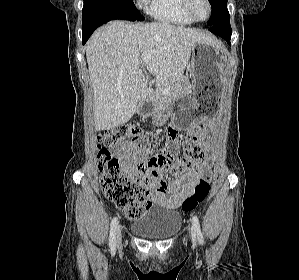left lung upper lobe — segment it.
I'll return each mask as SVG.
<instances>
[{
  "instance_id": "5c2ea615",
  "label": "left lung upper lobe",
  "mask_w": 299,
  "mask_h": 280,
  "mask_svg": "<svg viewBox=\"0 0 299 280\" xmlns=\"http://www.w3.org/2000/svg\"><path fill=\"white\" fill-rule=\"evenodd\" d=\"M212 7V15L207 25L212 26L219 21V18L227 8V0H209Z\"/></svg>"
}]
</instances>
